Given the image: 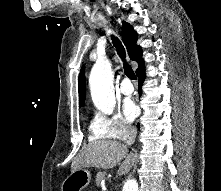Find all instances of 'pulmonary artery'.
Listing matches in <instances>:
<instances>
[{"label":"pulmonary artery","mask_w":221,"mask_h":191,"mask_svg":"<svg viewBox=\"0 0 221 191\" xmlns=\"http://www.w3.org/2000/svg\"><path fill=\"white\" fill-rule=\"evenodd\" d=\"M119 89L124 95H130L134 91L133 85L128 78L122 80Z\"/></svg>","instance_id":"1"}]
</instances>
